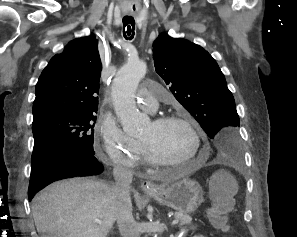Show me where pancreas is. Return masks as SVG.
<instances>
[{
  "mask_svg": "<svg viewBox=\"0 0 297 237\" xmlns=\"http://www.w3.org/2000/svg\"><path fill=\"white\" fill-rule=\"evenodd\" d=\"M174 218L179 220L180 226L190 224L192 222L191 216H189L188 214L181 213V212H176L174 214Z\"/></svg>",
  "mask_w": 297,
  "mask_h": 237,
  "instance_id": "cf45deb5",
  "label": "pancreas"
}]
</instances>
